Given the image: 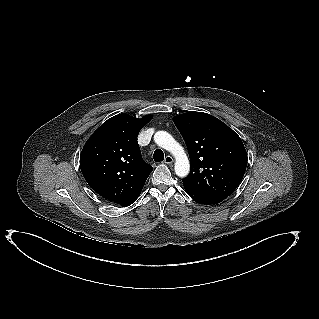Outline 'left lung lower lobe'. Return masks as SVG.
Listing matches in <instances>:
<instances>
[{
    "mask_svg": "<svg viewBox=\"0 0 319 319\" xmlns=\"http://www.w3.org/2000/svg\"><path fill=\"white\" fill-rule=\"evenodd\" d=\"M184 187H185V190H186L187 194L194 201H196L199 204L211 205V204H217V203L221 202V200L212 198V197L207 196V195H205L203 193H200V192H198L196 190L190 189V188H188L186 186H184Z\"/></svg>",
    "mask_w": 319,
    "mask_h": 319,
    "instance_id": "left-lung-lower-lobe-1",
    "label": "left lung lower lobe"
}]
</instances>
